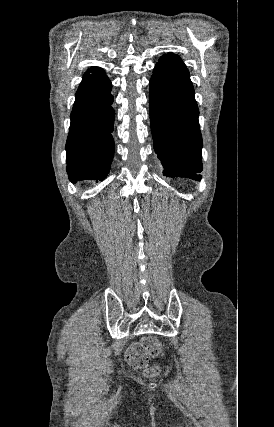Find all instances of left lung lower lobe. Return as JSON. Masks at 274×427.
I'll list each match as a JSON object with an SVG mask.
<instances>
[{"mask_svg": "<svg viewBox=\"0 0 274 427\" xmlns=\"http://www.w3.org/2000/svg\"><path fill=\"white\" fill-rule=\"evenodd\" d=\"M150 122L163 175L200 181L202 137L189 72L175 54L163 55L150 80Z\"/></svg>", "mask_w": 274, "mask_h": 427, "instance_id": "0a47b994", "label": "left lung lower lobe"}]
</instances>
